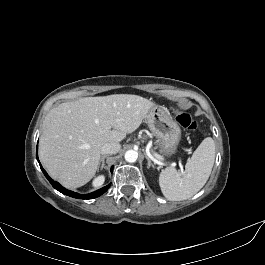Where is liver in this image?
<instances>
[{"instance_id":"liver-1","label":"liver","mask_w":265,"mask_h":265,"mask_svg":"<svg viewBox=\"0 0 265 265\" xmlns=\"http://www.w3.org/2000/svg\"><path fill=\"white\" fill-rule=\"evenodd\" d=\"M155 104L141 96L114 94L65 102L46 115L39 157L49 175L78 188L96 174L101 148L134 132Z\"/></svg>"}]
</instances>
